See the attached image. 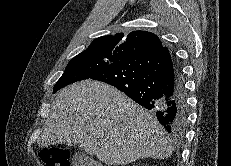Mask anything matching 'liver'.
<instances>
[{
    "instance_id": "1",
    "label": "liver",
    "mask_w": 231,
    "mask_h": 166,
    "mask_svg": "<svg viewBox=\"0 0 231 166\" xmlns=\"http://www.w3.org/2000/svg\"><path fill=\"white\" fill-rule=\"evenodd\" d=\"M37 142L41 148L77 145L108 165L167 159L173 152L154 115L116 88L93 80L71 84L58 93Z\"/></svg>"
}]
</instances>
